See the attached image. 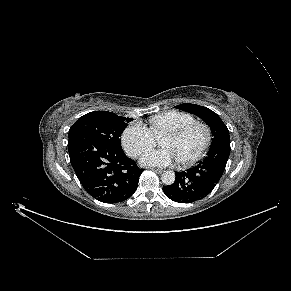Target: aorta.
Returning <instances> with one entry per match:
<instances>
[{"label": "aorta", "instance_id": "1", "mask_svg": "<svg viewBox=\"0 0 291 291\" xmlns=\"http://www.w3.org/2000/svg\"><path fill=\"white\" fill-rule=\"evenodd\" d=\"M161 180L165 185H172L175 181V173L173 171H165L161 175Z\"/></svg>", "mask_w": 291, "mask_h": 291}]
</instances>
